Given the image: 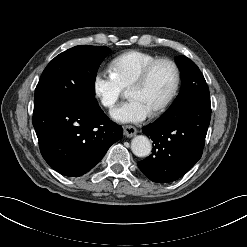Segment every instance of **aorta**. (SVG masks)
<instances>
[{"instance_id":"aorta-1","label":"aorta","mask_w":247,"mask_h":247,"mask_svg":"<svg viewBox=\"0 0 247 247\" xmlns=\"http://www.w3.org/2000/svg\"><path fill=\"white\" fill-rule=\"evenodd\" d=\"M131 150L137 157H146L151 153L152 145L146 136L137 135L131 141Z\"/></svg>"}]
</instances>
